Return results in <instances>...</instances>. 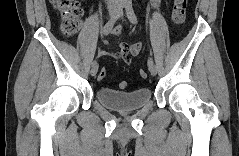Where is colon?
<instances>
[{
    "label": "colon",
    "instance_id": "5ec220e1",
    "mask_svg": "<svg viewBox=\"0 0 239 156\" xmlns=\"http://www.w3.org/2000/svg\"><path fill=\"white\" fill-rule=\"evenodd\" d=\"M187 0H175L173 11H172V20L175 24L181 25L184 23L186 18L187 11ZM55 8L60 14L61 17V30L66 35H73L77 32L81 24L82 9L79 3L75 0H56L54 1ZM107 75L105 68H102L99 72L98 79L104 80ZM141 78L147 77V72L144 69L140 70ZM121 89H126L128 83L122 81L120 83Z\"/></svg>",
    "mask_w": 239,
    "mask_h": 156
}]
</instances>
